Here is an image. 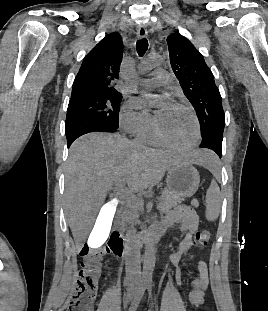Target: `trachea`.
Instances as JSON below:
<instances>
[{"label":"trachea","instance_id":"trachea-1","mask_svg":"<svg viewBox=\"0 0 268 311\" xmlns=\"http://www.w3.org/2000/svg\"><path fill=\"white\" fill-rule=\"evenodd\" d=\"M136 49H137V53L140 57H142L147 49H148V41L146 38H142L140 40L137 41L136 43Z\"/></svg>","mask_w":268,"mask_h":311}]
</instances>
